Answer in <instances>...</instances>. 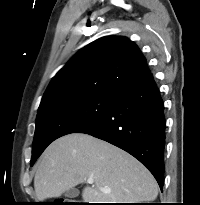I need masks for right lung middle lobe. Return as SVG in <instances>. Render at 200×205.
Returning a JSON list of instances; mask_svg holds the SVG:
<instances>
[{"label": "right lung middle lobe", "mask_w": 200, "mask_h": 205, "mask_svg": "<svg viewBox=\"0 0 200 205\" xmlns=\"http://www.w3.org/2000/svg\"><path fill=\"white\" fill-rule=\"evenodd\" d=\"M115 98L96 95L67 98L38 111L31 166L55 139L92 123L102 116Z\"/></svg>", "instance_id": "1"}]
</instances>
